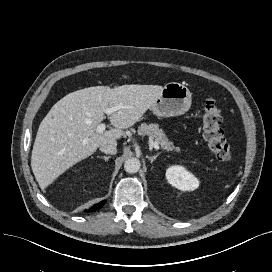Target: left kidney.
Here are the masks:
<instances>
[{"label":"left kidney","instance_id":"obj_1","mask_svg":"<svg viewBox=\"0 0 272 272\" xmlns=\"http://www.w3.org/2000/svg\"><path fill=\"white\" fill-rule=\"evenodd\" d=\"M166 178L172 186L182 191H193L199 187V180L180 165L170 166L166 170Z\"/></svg>","mask_w":272,"mask_h":272}]
</instances>
